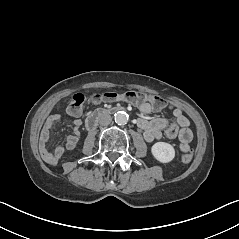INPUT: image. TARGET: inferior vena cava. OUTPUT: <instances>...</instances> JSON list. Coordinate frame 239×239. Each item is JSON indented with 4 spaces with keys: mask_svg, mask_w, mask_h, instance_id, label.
Wrapping results in <instances>:
<instances>
[{
    "mask_svg": "<svg viewBox=\"0 0 239 239\" xmlns=\"http://www.w3.org/2000/svg\"><path fill=\"white\" fill-rule=\"evenodd\" d=\"M98 122L102 126H107L112 122V117L110 114L104 113L99 117Z\"/></svg>",
    "mask_w": 239,
    "mask_h": 239,
    "instance_id": "1",
    "label": "inferior vena cava"
}]
</instances>
